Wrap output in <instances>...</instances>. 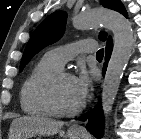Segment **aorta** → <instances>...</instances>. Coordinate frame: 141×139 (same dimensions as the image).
<instances>
[{"label": "aorta", "instance_id": "aorta-1", "mask_svg": "<svg viewBox=\"0 0 141 139\" xmlns=\"http://www.w3.org/2000/svg\"><path fill=\"white\" fill-rule=\"evenodd\" d=\"M72 24L78 30H87L103 24L113 33V51L102 86V109L107 124L123 73L132 53L134 39L131 24L120 13L109 10H94L74 16Z\"/></svg>", "mask_w": 141, "mask_h": 139}]
</instances>
